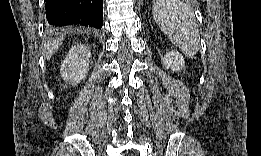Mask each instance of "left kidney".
Masks as SVG:
<instances>
[{"mask_svg":"<svg viewBox=\"0 0 261 156\" xmlns=\"http://www.w3.org/2000/svg\"><path fill=\"white\" fill-rule=\"evenodd\" d=\"M162 63L166 69L180 71L185 66L183 56L177 51H168L162 58Z\"/></svg>","mask_w":261,"mask_h":156,"instance_id":"left-kidney-1","label":"left kidney"}]
</instances>
